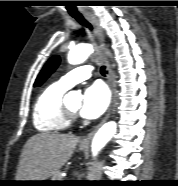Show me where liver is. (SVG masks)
<instances>
[{
    "mask_svg": "<svg viewBox=\"0 0 178 186\" xmlns=\"http://www.w3.org/2000/svg\"><path fill=\"white\" fill-rule=\"evenodd\" d=\"M79 137L39 133L30 137L21 153L16 179L43 181L54 175L72 156Z\"/></svg>",
    "mask_w": 178,
    "mask_h": 186,
    "instance_id": "6515ba94",
    "label": "liver"
}]
</instances>
